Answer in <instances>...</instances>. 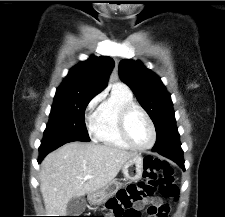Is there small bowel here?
I'll use <instances>...</instances> for the list:
<instances>
[{"mask_svg":"<svg viewBox=\"0 0 225 217\" xmlns=\"http://www.w3.org/2000/svg\"><path fill=\"white\" fill-rule=\"evenodd\" d=\"M151 203H152L151 206H155V207H160V206L164 205V204H162V202H161L159 199H157V198L152 199ZM142 206H143V202L139 201V202H137V203L135 204L134 207H135L137 210H139V209L142 208Z\"/></svg>","mask_w":225,"mask_h":217,"instance_id":"obj_1","label":"small bowel"}]
</instances>
